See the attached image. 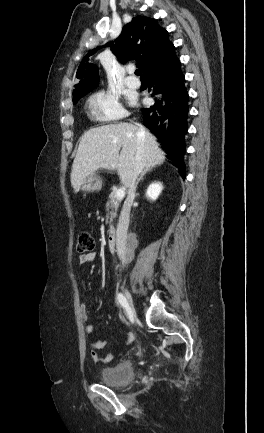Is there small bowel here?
Returning <instances> with one entry per match:
<instances>
[{"label": "small bowel", "instance_id": "small-bowel-1", "mask_svg": "<svg viewBox=\"0 0 264 433\" xmlns=\"http://www.w3.org/2000/svg\"><path fill=\"white\" fill-rule=\"evenodd\" d=\"M96 258V254L94 252L87 253L81 255L79 257V265H84L86 263L94 261ZM90 301V297L86 296L83 298L79 305V312L81 319L86 322L88 319L87 314V304ZM94 329V325L91 323H87L85 325V331L87 333H91ZM132 340V335L129 333L127 336L126 344H129ZM107 346V341L102 339H96L91 342L90 345V354L94 362L96 363H108L113 360L114 355L112 353H107L104 357L99 356V351L104 349Z\"/></svg>", "mask_w": 264, "mask_h": 433}]
</instances>
